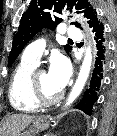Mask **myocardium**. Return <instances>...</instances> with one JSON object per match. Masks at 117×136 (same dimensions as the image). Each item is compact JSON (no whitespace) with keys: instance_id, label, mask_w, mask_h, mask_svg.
Listing matches in <instances>:
<instances>
[{"instance_id":"f54148a6","label":"myocardium","mask_w":117,"mask_h":136,"mask_svg":"<svg viewBox=\"0 0 117 136\" xmlns=\"http://www.w3.org/2000/svg\"><path fill=\"white\" fill-rule=\"evenodd\" d=\"M45 72L44 69H35L32 74H31V79H30V90H31V95L34 100V102L38 106H50L54 105L58 102H60L63 97H64V92L61 91L57 96L53 98H46L43 96L41 89L38 85V76L39 74Z\"/></svg>"}]
</instances>
